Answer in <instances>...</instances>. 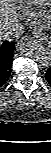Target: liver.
Returning a JSON list of instances; mask_svg holds the SVG:
<instances>
[{
  "instance_id": "6515ba94",
  "label": "liver",
  "mask_w": 51,
  "mask_h": 153,
  "mask_svg": "<svg viewBox=\"0 0 51 153\" xmlns=\"http://www.w3.org/2000/svg\"><path fill=\"white\" fill-rule=\"evenodd\" d=\"M17 8L19 6L12 4V0H0V32L18 21Z\"/></svg>"
}]
</instances>
